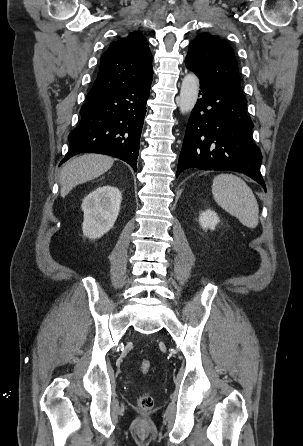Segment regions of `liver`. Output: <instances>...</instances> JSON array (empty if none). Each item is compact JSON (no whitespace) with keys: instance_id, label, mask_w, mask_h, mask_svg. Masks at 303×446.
Masks as SVG:
<instances>
[{"instance_id":"obj_1","label":"liver","mask_w":303,"mask_h":446,"mask_svg":"<svg viewBox=\"0 0 303 446\" xmlns=\"http://www.w3.org/2000/svg\"><path fill=\"white\" fill-rule=\"evenodd\" d=\"M114 159L100 154H84L67 162L60 173V195L62 198L81 183L95 179L108 171Z\"/></svg>"}]
</instances>
